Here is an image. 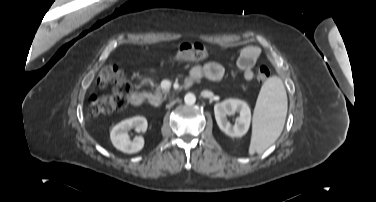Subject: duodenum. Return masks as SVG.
<instances>
[{
    "label": "duodenum",
    "mask_w": 376,
    "mask_h": 202,
    "mask_svg": "<svg viewBox=\"0 0 376 202\" xmlns=\"http://www.w3.org/2000/svg\"><path fill=\"white\" fill-rule=\"evenodd\" d=\"M144 97L141 92L135 91L131 94L130 103L133 106H140L143 103Z\"/></svg>",
    "instance_id": "410a0bca"
}]
</instances>
